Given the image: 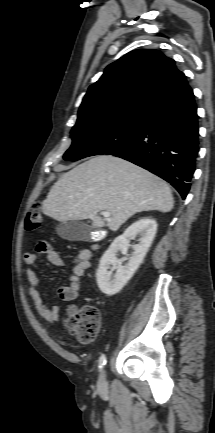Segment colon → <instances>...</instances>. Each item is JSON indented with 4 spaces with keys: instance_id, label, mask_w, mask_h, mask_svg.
<instances>
[{
    "instance_id": "obj_1",
    "label": "colon",
    "mask_w": 215,
    "mask_h": 433,
    "mask_svg": "<svg viewBox=\"0 0 215 433\" xmlns=\"http://www.w3.org/2000/svg\"><path fill=\"white\" fill-rule=\"evenodd\" d=\"M43 226L41 208L34 203L28 210L25 218V229L29 232L40 230ZM65 326L71 329L81 343L91 342L97 335L100 327V312L94 305L83 306L74 318L67 320Z\"/></svg>"
}]
</instances>
